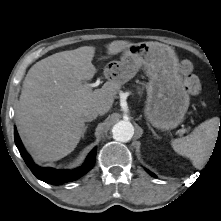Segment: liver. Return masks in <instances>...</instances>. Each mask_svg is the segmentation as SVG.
<instances>
[{
    "label": "liver",
    "mask_w": 221,
    "mask_h": 221,
    "mask_svg": "<svg viewBox=\"0 0 221 221\" xmlns=\"http://www.w3.org/2000/svg\"><path fill=\"white\" fill-rule=\"evenodd\" d=\"M132 43L116 40L107 53L116 55ZM95 47L82 46L55 53L34 64L28 71L15 110L20 137L39 162L57 161L70 154L85 130L82 112L89 107L107 113L121 85L107 81L92 90L84 81L91 80Z\"/></svg>",
    "instance_id": "obj_1"
}]
</instances>
